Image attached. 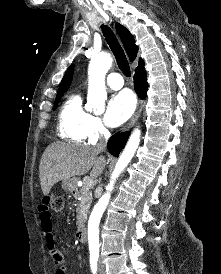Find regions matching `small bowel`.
<instances>
[{
	"label": "small bowel",
	"mask_w": 221,
	"mask_h": 274,
	"mask_svg": "<svg viewBox=\"0 0 221 274\" xmlns=\"http://www.w3.org/2000/svg\"><path fill=\"white\" fill-rule=\"evenodd\" d=\"M38 215L40 227L45 239L46 247L52 258V261L58 266L55 274H67V267L63 254L57 249L53 232V215L49 207L42 203L38 206Z\"/></svg>",
	"instance_id": "c3829d8e"
}]
</instances>
